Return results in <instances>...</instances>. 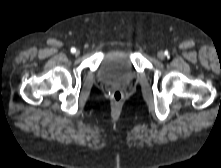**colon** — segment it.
<instances>
[{
	"mask_svg": "<svg viewBox=\"0 0 221 168\" xmlns=\"http://www.w3.org/2000/svg\"><path fill=\"white\" fill-rule=\"evenodd\" d=\"M111 99H112V101H113L114 103H116V104L120 103V102L122 101V99H123V94H122V92H120V91H118V90L112 92V94H111Z\"/></svg>",
	"mask_w": 221,
	"mask_h": 168,
	"instance_id": "obj_1",
	"label": "colon"
}]
</instances>
